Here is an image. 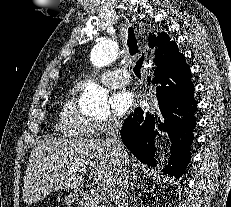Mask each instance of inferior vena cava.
<instances>
[{
  "mask_svg": "<svg viewBox=\"0 0 231 207\" xmlns=\"http://www.w3.org/2000/svg\"><path fill=\"white\" fill-rule=\"evenodd\" d=\"M122 121L113 117L107 122L105 143L109 146L119 160L116 179L113 186L112 196L116 207H127L128 199V176H127V153L122 144L120 131Z\"/></svg>",
  "mask_w": 231,
  "mask_h": 207,
  "instance_id": "1",
  "label": "inferior vena cava"
}]
</instances>
